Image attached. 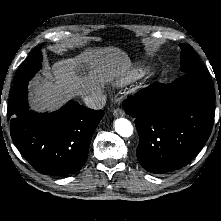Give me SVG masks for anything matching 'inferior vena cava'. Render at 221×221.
I'll use <instances>...</instances> for the list:
<instances>
[{"label":"inferior vena cava","mask_w":221,"mask_h":221,"mask_svg":"<svg viewBox=\"0 0 221 221\" xmlns=\"http://www.w3.org/2000/svg\"><path fill=\"white\" fill-rule=\"evenodd\" d=\"M85 105L92 109H102L106 104V97L100 92H94L83 97Z\"/></svg>","instance_id":"obj_1"}]
</instances>
